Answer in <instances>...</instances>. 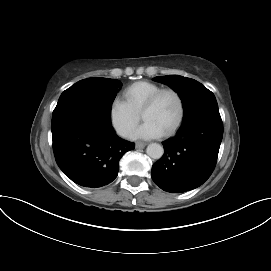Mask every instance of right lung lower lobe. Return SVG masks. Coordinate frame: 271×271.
<instances>
[{"instance_id": "obj_1", "label": "right lung lower lobe", "mask_w": 271, "mask_h": 271, "mask_svg": "<svg viewBox=\"0 0 271 271\" xmlns=\"http://www.w3.org/2000/svg\"><path fill=\"white\" fill-rule=\"evenodd\" d=\"M53 151L59 168L84 187H102L118 174L119 160L134 143L119 138L111 119L92 113L51 126Z\"/></svg>"}]
</instances>
